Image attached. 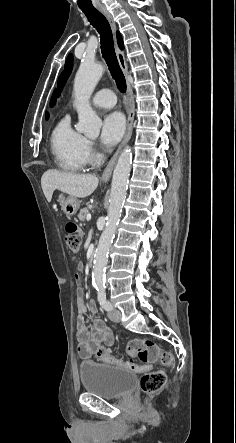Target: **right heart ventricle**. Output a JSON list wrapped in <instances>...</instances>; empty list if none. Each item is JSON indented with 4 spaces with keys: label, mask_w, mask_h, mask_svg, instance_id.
<instances>
[{
    "label": "right heart ventricle",
    "mask_w": 236,
    "mask_h": 443,
    "mask_svg": "<svg viewBox=\"0 0 236 443\" xmlns=\"http://www.w3.org/2000/svg\"><path fill=\"white\" fill-rule=\"evenodd\" d=\"M85 142V137L72 127L70 118H62L50 136V150L55 165L67 172L83 170L87 163Z\"/></svg>",
    "instance_id": "obj_1"
}]
</instances>
